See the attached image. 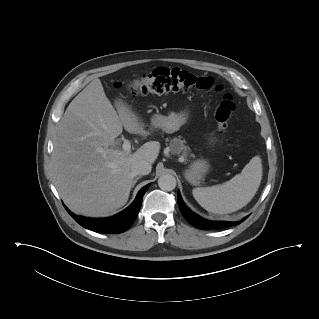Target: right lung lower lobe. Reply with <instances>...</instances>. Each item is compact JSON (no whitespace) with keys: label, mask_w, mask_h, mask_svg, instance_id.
<instances>
[{"label":"right lung lower lobe","mask_w":319,"mask_h":319,"mask_svg":"<svg viewBox=\"0 0 319 319\" xmlns=\"http://www.w3.org/2000/svg\"><path fill=\"white\" fill-rule=\"evenodd\" d=\"M149 185L150 184L144 186L138 192L135 200L129 207L110 218L92 219L80 217L70 212L66 207L65 208L73 219L84 228L104 234L122 233L128 230L134 223L141 207L142 197L149 188Z\"/></svg>","instance_id":"right-lung-lower-lobe-1"}]
</instances>
